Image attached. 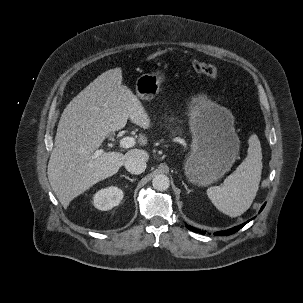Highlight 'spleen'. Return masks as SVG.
<instances>
[{"instance_id":"1","label":"spleen","mask_w":303,"mask_h":303,"mask_svg":"<svg viewBox=\"0 0 303 303\" xmlns=\"http://www.w3.org/2000/svg\"><path fill=\"white\" fill-rule=\"evenodd\" d=\"M246 159L230 174L222 186L207 189V195L222 213L237 217L247 211L259 188L262 173L261 144L256 134L248 140Z\"/></svg>"}]
</instances>
